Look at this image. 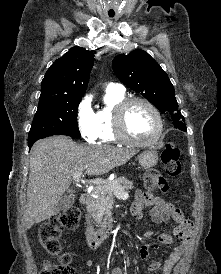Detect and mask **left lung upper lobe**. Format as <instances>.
<instances>
[{
	"label": "left lung upper lobe",
	"instance_id": "1",
	"mask_svg": "<svg viewBox=\"0 0 221 274\" xmlns=\"http://www.w3.org/2000/svg\"><path fill=\"white\" fill-rule=\"evenodd\" d=\"M112 65L122 83L148 99L161 113L170 114L176 128L186 130L174 87L166 72L147 52L134 50L128 55H117Z\"/></svg>",
	"mask_w": 221,
	"mask_h": 274
}]
</instances>
